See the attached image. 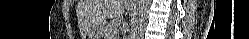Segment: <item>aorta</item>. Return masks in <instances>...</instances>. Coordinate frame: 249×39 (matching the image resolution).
<instances>
[{"label": "aorta", "mask_w": 249, "mask_h": 39, "mask_svg": "<svg viewBox=\"0 0 249 39\" xmlns=\"http://www.w3.org/2000/svg\"><path fill=\"white\" fill-rule=\"evenodd\" d=\"M151 0H138L132 39H140L146 26Z\"/></svg>", "instance_id": "762f6f07"}]
</instances>
